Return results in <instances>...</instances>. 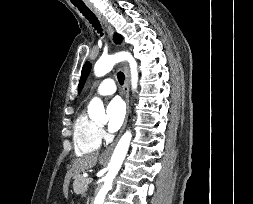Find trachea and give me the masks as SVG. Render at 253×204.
<instances>
[{
    "instance_id": "trachea-1",
    "label": "trachea",
    "mask_w": 253,
    "mask_h": 204,
    "mask_svg": "<svg viewBox=\"0 0 253 204\" xmlns=\"http://www.w3.org/2000/svg\"><path fill=\"white\" fill-rule=\"evenodd\" d=\"M75 6L85 16V18L89 20V22L92 24L95 30H97L98 33L103 35L101 25L98 19L96 18V16L93 14V12L85 4L75 5ZM117 77H118L119 83L123 85L124 79H125L124 73L118 72Z\"/></svg>"
}]
</instances>
